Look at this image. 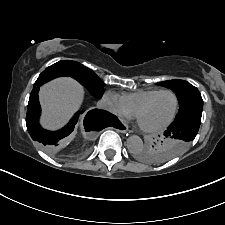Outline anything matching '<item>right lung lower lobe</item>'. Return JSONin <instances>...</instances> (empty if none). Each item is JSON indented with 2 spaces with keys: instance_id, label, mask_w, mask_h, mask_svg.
I'll use <instances>...</instances> for the list:
<instances>
[{
  "instance_id": "98d812e1",
  "label": "right lung lower lobe",
  "mask_w": 225,
  "mask_h": 225,
  "mask_svg": "<svg viewBox=\"0 0 225 225\" xmlns=\"http://www.w3.org/2000/svg\"><path fill=\"white\" fill-rule=\"evenodd\" d=\"M65 76L60 73H44L42 72L36 82L33 85V90L30 94L27 115H26V126L27 130L34 141L39 142L42 147L48 151L53 152L62 143L63 139L72 133L74 126L77 123L78 115L70 120V122L63 129L59 131L50 132L44 130L39 125V116L41 108L38 100V92L40 86L56 77ZM117 119L114 115L105 112L103 110L94 109L89 111L84 119V126L87 131L99 130L106 127L107 123Z\"/></svg>"
}]
</instances>
